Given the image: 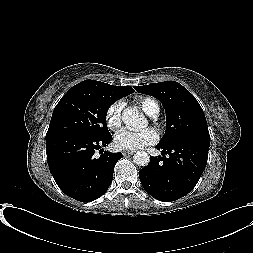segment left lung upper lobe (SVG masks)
Here are the masks:
<instances>
[{
	"instance_id": "1",
	"label": "left lung upper lobe",
	"mask_w": 253,
	"mask_h": 253,
	"mask_svg": "<svg viewBox=\"0 0 253 253\" xmlns=\"http://www.w3.org/2000/svg\"><path fill=\"white\" fill-rule=\"evenodd\" d=\"M137 92L157 98L165 108L166 132L159 144L182 137L210 140L204 112L195 97L175 81L135 86Z\"/></svg>"
}]
</instances>
